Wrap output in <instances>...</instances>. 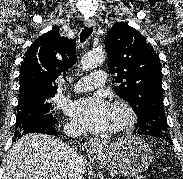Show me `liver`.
<instances>
[{
  "instance_id": "1",
  "label": "liver",
  "mask_w": 183,
  "mask_h": 179,
  "mask_svg": "<svg viewBox=\"0 0 183 179\" xmlns=\"http://www.w3.org/2000/svg\"><path fill=\"white\" fill-rule=\"evenodd\" d=\"M72 153V148L52 136L24 135L9 150L2 179H67ZM80 159L84 173L85 163Z\"/></svg>"
}]
</instances>
